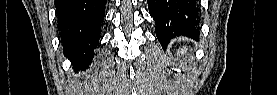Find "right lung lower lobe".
Here are the masks:
<instances>
[{
	"mask_svg": "<svg viewBox=\"0 0 277 95\" xmlns=\"http://www.w3.org/2000/svg\"><path fill=\"white\" fill-rule=\"evenodd\" d=\"M106 0H55L64 55L85 70L98 45Z\"/></svg>",
	"mask_w": 277,
	"mask_h": 95,
	"instance_id": "right-lung-lower-lobe-1",
	"label": "right lung lower lobe"
}]
</instances>
